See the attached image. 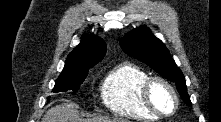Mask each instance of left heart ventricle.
<instances>
[{"label":"left heart ventricle","mask_w":221,"mask_h":122,"mask_svg":"<svg viewBox=\"0 0 221 122\" xmlns=\"http://www.w3.org/2000/svg\"><path fill=\"white\" fill-rule=\"evenodd\" d=\"M152 100L163 113H170L174 108V99L170 91L162 84H155L152 89Z\"/></svg>","instance_id":"1"}]
</instances>
